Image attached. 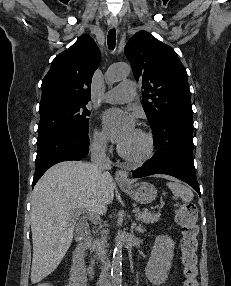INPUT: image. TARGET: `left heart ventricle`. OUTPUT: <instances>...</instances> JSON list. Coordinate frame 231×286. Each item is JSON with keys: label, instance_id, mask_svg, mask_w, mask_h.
Listing matches in <instances>:
<instances>
[{"label": "left heart ventricle", "instance_id": "b2bd125f", "mask_svg": "<svg viewBox=\"0 0 231 286\" xmlns=\"http://www.w3.org/2000/svg\"><path fill=\"white\" fill-rule=\"evenodd\" d=\"M122 148L129 154L137 155L144 151L145 141L143 137L136 131L132 138L122 145Z\"/></svg>", "mask_w": 231, "mask_h": 286}]
</instances>
